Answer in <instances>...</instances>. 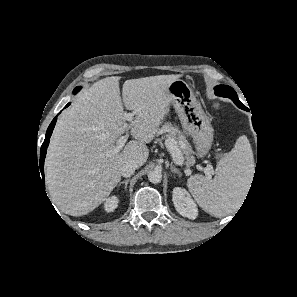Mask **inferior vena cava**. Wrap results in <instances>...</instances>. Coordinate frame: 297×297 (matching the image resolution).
Here are the masks:
<instances>
[{"label":"inferior vena cava","instance_id":"inferior-vena-cava-1","mask_svg":"<svg viewBox=\"0 0 297 297\" xmlns=\"http://www.w3.org/2000/svg\"><path fill=\"white\" fill-rule=\"evenodd\" d=\"M137 168L138 165L134 161H126L120 168V174L123 177H130L132 174H134Z\"/></svg>","mask_w":297,"mask_h":297}]
</instances>
